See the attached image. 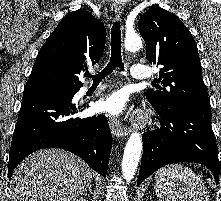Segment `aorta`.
Here are the masks:
<instances>
[{"label":"aorta","instance_id":"aorta-1","mask_svg":"<svg viewBox=\"0 0 221 201\" xmlns=\"http://www.w3.org/2000/svg\"><path fill=\"white\" fill-rule=\"evenodd\" d=\"M141 47L142 40L138 34H132L126 37V50L135 52ZM142 147L143 143L140 134L138 132L132 133L126 143L122 160V175L127 182H130L135 175L141 158Z\"/></svg>","mask_w":221,"mask_h":201}]
</instances>
